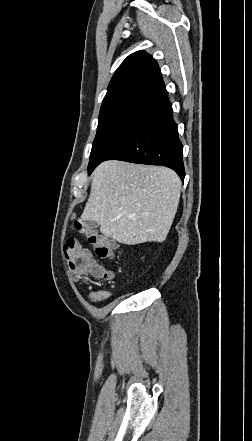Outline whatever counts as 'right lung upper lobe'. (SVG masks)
Returning a JSON list of instances; mask_svg holds the SVG:
<instances>
[{"instance_id":"1","label":"right lung upper lobe","mask_w":252,"mask_h":441,"mask_svg":"<svg viewBox=\"0 0 252 441\" xmlns=\"http://www.w3.org/2000/svg\"><path fill=\"white\" fill-rule=\"evenodd\" d=\"M165 88L156 60L144 51L129 55L113 75L101 110L147 100Z\"/></svg>"}]
</instances>
